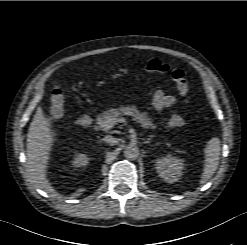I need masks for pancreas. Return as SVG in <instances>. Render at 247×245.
<instances>
[{
    "label": "pancreas",
    "mask_w": 247,
    "mask_h": 245,
    "mask_svg": "<svg viewBox=\"0 0 247 245\" xmlns=\"http://www.w3.org/2000/svg\"><path fill=\"white\" fill-rule=\"evenodd\" d=\"M123 115L132 116L143 128L155 129L156 125L148 117L147 113L141 112L135 105L120 106L119 108H110L103 111L96 119V128L104 131L108 130L105 126L109 118H121Z\"/></svg>",
    "instance_id": "1"
}]
</instances>
